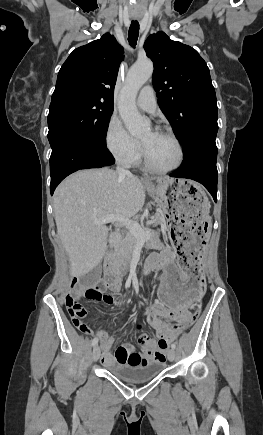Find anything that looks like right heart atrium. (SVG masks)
Segmentation results:
<instances>
[{"mask_svg":"<svg viewBox=\"0 0 263 435\" xmlns=\"http://www.w3.org/2000/svg\"><path fill=\"white\" fill-rule=\"evenodd\" d=\"M105 146L116 161L123 165L137 162L141 156V144L126 130L123 122L112 116L105 129Z\"/></svg>","mask_w":263,"mask_h":435,"instance_id":"right-heart-atrium-1","label":"right heart atrium"}]
</instances>
